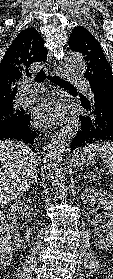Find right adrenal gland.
Listing matches in <instances>:
<instances>
[{
  "instance_id": "right-adrenal-gland-1",
  "label": "right adrenal gland",
  "mask_w": 113,
  "mask_h": 279,
  "mask_svg": "<svg viewBox=\"0 0 113 279\" xmlns=\"http://www.w3.org/2000/svg\"><path fill=\"white\" fill-rule=\"evenodd\" d=\"M38 180V174L35 173L34 177H33V180H32V183H36Z\"/></svg>"
}]
</instances>
